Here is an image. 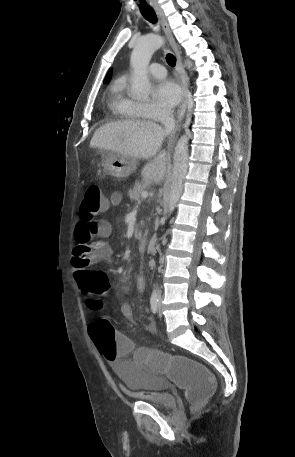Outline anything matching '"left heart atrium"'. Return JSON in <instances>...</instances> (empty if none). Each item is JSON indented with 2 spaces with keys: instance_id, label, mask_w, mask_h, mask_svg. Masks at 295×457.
<instances>
[{
  "instance_id": "39dd6f15",
  "label": "left heart atrium",
  "mask_w": 295,
  "mask_h": 457,
  "mask_svg": "<svg viewBox=\"0 0 295 457\" xmlns=\"http://www.w3.org/2000/svg\"><path fill=\"white\" fill-rule=\"evenodd\" d=\"M154 96L158 103L167 108H171L180 101L181 90L176 82L172 80H163L156 85Z\"/></svg>"
}]
</instances>
